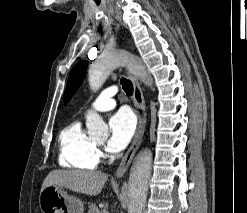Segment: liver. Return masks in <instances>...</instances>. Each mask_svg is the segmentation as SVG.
<instances>
[{
	"mask_svg": "<svg viewBox=\"0 0 247 213\" xmlns=\"http://www.w3.org/2000/svg\"><path fill=\"white\" fill-rule=\"evenodd\" d=\"M107 179L108 175L100 171L54 170L43 181L42 189L48 186H58L95 196L102 191Z\"/></svg>",
	"mask_w": 247,
	"mask_h": 213,
	"instance_id": "liver-1",
	"label": "liver"
}]
</instances>
